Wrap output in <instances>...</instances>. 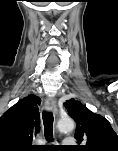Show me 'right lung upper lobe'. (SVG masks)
Returning a JSON list of instances; mask_svg holds the SVG:
<instances>
[{
	"mask_svg": "<svg viewBox=\"0 0 118 151\" xmlns=\"http://www.w3.org/2000/svg\"><path fill=\"white\" fill-rule=\"evenodd\" d=\"M41 99L31 94L19 100L0 117V151H31L33 134L40 130L37 105Z\"/></svg>",
	"mask_w": 118,
	"mask_h": 151,
	"instance_id": "1",
	"label": "right lung upper lobe"
}]
</instances>
